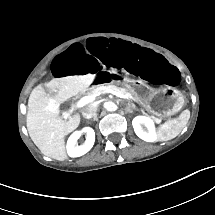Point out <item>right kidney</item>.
<instances>
[{
  "mask_svg": "<svg viewBox=\"0 0 215 215\" xmlns=\"http://www.w3.org/2000/svg\"><path fill=\"white\" fill-rule=\"evenodd\" d=\"M84 131H86L87 136L85 143L82 145H76V141L81 136V131L76 130L69 136L66 144L67 154L69 157H80L86 154L93 147L95 141V133L93 129L86 127Z\"/></svg>",
  "mask_w": 215,
  "mask_h": 215,
  "instance_id": "1",
  "label": "right kidney"
}]
</instances>
